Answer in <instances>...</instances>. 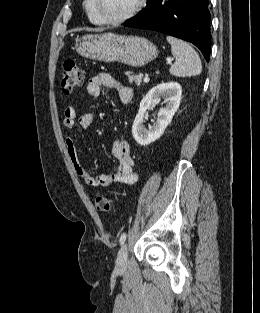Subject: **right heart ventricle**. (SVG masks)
I'll return each instance as SVG.
<instances>
[{"instance_id":"1","label":"right heart ventricle","mask_w":260,"mask_h":313,"mask_svg":"<svg viewBox=\"0 0 260 313\" xmlns=\"http://www.w3.org/2000/svg\"><path fill=\"white\" fill-rule=\"evenodd\" d=\"M83 7L91 23L95 25L103 24V22L99 19V17L94 11L93 0H83Z\"/></svg>"}]
</instances>
